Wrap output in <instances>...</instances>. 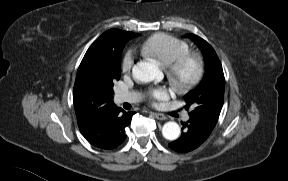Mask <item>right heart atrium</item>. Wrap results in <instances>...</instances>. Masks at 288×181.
<instances>
[{
	"instance_id": "d8ad5b80",
	"label": "right heart atrium",
	"mask_w": 288,
	"mask_h": 181,
	"mask_svg": "<svg viewBox=\"0 0 288 181\" xmlns=\"http://www.w3.org/2000/svg\"><path fill=\"white\" fill-rule=\"evenodd\" d=\"M134 64V54L131 50H128L122 59L121 68L124 73H129L132 70Z\"/></svg>"
}]
</instances>
